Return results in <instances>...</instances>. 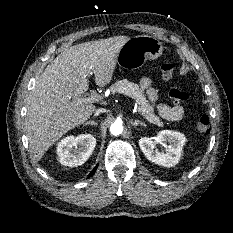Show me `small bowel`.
<instances>
[{"instance_id": "obj_1", "label": "small bowel", "mask_w": 233, "mask_h": 233, "mask_svg": "<svg viewBox=\"0 0 233 233\" xmlns=\"http://www.w3.org/2000/svg\"><path fill=\"white\" fill-rule=\"evenodd\" d=\"M139 83L140 87L146 91L149 99L155 101L157 99V92L151 86L150 80L147 77H142ZM157 111L163 119L168 121H179L184 115V109L181 105L170 106L167 104H159Z\"/></svg>"}]
</instances>
